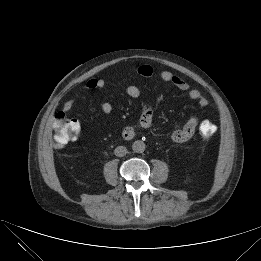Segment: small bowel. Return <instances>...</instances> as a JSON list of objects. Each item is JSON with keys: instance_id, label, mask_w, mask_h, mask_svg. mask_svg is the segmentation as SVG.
I'll return each instance as SVG.
<instances>
[{"instance_id": "c3829d8e", "label": "small bowel", "mask_w": 261, "mask_h": 261, "mask_svg": "<svg viewBox=\"0 0 261 261\" xmlns=\"http://www.w3.org/2000/svg\"><path fill=\"white\" fill-rule=\"evenodd\" d=\"M138 74L144 77H149L153 74V69L149 65H141L137 69ZM161 80L165 82L172 83L178 89L182 91H187L189 97L194 100L199 106L205 107L208 105V100L202 96L201 92L197 89H191L189 83L183 79L175 75L170 71H162L160 73ZM106 82L103 78L93 77L90 78L85 86L87 89H101L105 86ZM126 93L131 98H139L141 95V91L138 87L134 85H130L126 88ZM74 106V100H68L65 102L63 106V112H69ZM101 110L104 114H110L112 112V105L109 102H104L101 105ZM80 129V125L77 120H75ZM153 122V111L150 107L146 106L142 109L141 116L139 118V126L142 129H149ZM201 123L199 118L196 116L191 117L181 128L174 130L171 134V139L173 142L182 143L189 140L194 134L198 126ZM137 135V130L134 126H127L122 130L123 138L130 140L133 139Z\"/></svg>"}]
</instances>
